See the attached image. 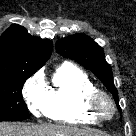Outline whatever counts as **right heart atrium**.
<instances>
[{"instance_id": "d8ad5b80", "label": "right heart atrium", "mask_w": 136, "mask_h": 136, "mask_svg": "<svg viewBox=\"0 0 136 136\" xmlns=\"http://www.w3.org/2000/svg\"><path fill=\"white\" fill-rule=\"evenodd\" d=\"M22 93L28 109L36 116L43 114L47 103V93L40 74L34 75L25 83Z\"/></svg>"}]
</instances>
